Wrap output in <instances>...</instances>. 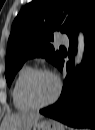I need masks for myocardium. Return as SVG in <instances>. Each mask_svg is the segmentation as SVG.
Segmentation results:
<instances>
[{
	"instance_id": "myocardium-1",
	"label": "myocardium",
	"mask_w": 95,
	"mask_h": 130,
	"mask_svg": "<svg viewBox=\"0 0 95 130\" xmlns=\"http://www.w3.org/2000/svg\"><path fill=\"white\" fill-rule=\"evenodd\" d=\"M38 74L50 75L55 80L56 85H57V90H56L55 95L50 100H48L44 103H40V104L33 102L28 95V86H29L31 80ZM61 90H62L61 81L55 74H53L51 71L44 69V68H35V69H32L25 77V79L22 83V86H21V96H22L23 101L29 107H31L32 109H40V108L49 106V105L53 104L54 102H56L61 94Z\"/></svg>"
}]
</instances>
